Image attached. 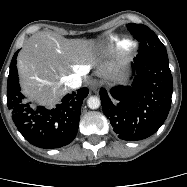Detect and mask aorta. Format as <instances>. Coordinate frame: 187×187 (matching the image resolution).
Listing matches in <instances>:
<instances>
[{"instance_id":"1","label":"aorta","mask_w":187,"mask_h":187,"mask_svg":"<svg viewBox=\"0 0 187 187\" xmlns=\"http://www.w3.org/2000/svg\"><path fill=\"white\" fill-rule=\"evenodd\" d=\"M87 104H88V107L90 109H97V108L100 107L101 101H100V99L98 97L91 96V97L88 98Z\"/></svg>"}]
</instances>
